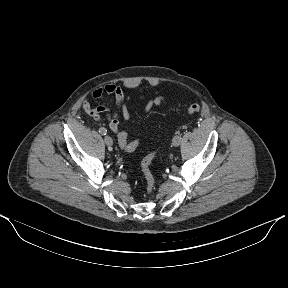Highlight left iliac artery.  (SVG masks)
<instances>
[{
    "label": "left iliac artery",
    "instance_id": "left-iliac-artery-1",
    "mask_svg": "<svg viewBox=\"0 0 288 288\" xmlns=\"http://www.w3.org/2000/svg\"><path fill=\"white\" fill-rule=\"evenodd\" d=\"M175 135H176L178 138H181V137L183 136L182 130H181V129H176V130H175Z\"/></svg>",
    "mask_w": 288,
    "mask_h": 288
}]
</instances>
